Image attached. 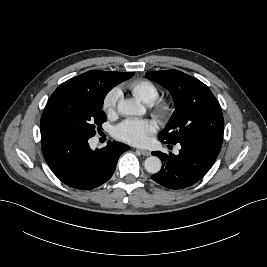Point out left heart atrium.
Segmentation results:
<instances>
[{"instance_id": "1", "label": "left heart atrium", "mask_w": 267, "mask_h": 267, "mask_svg": "<svg viewBox=\"0 0 267 267\" xmlns=\"http://www.w3.org/2000/svg\"><path fill=\"white\" fill-rule=\"evenodd\" d=\"M155 132V124L146 119H127L114 129V136L133 145L141 146L148 142L151 134Z\"/></svg>"}]
</instances>
